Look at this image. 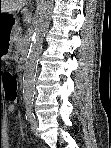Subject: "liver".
I'll return each mask as SVG.
<instances>
[{
  "label": "liver",
  "instance_id": "liver-1",
  "mask_svg": "<svg viewBox=\"0 0 111 148\" xmlns=\"http://www.w3.org/2000/svg\"><path fill=\"white\" fill-rule=\"evenodd\" d=\"M27 4V0H2L1 1V12L10 13L20 10Z\"/></svg>",
  "mask_w": 111,
  "mask_h": 148
}]
</instances>
